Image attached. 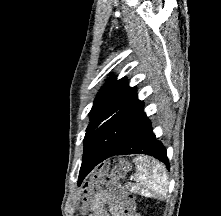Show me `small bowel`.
I'll return each mask as SVG.
<instances>
[{
	"instance_id": "obj_1",
	"label": "small bowel",
	"mask_w": 221,
	"mask_h": 216,
	"mask_svg": "<svg viewBox=\"0 0 221 216\" xmlns=\"http://www.w3.org/2000/svg\"><path fill=\"white\" fill-rule=\"evenodd\" d=\"M108 206V210L106 209ZM92 214L90 216H123L108 192L101 191L97 203L92 205Z\"/></svg>"
}]
</instances>
